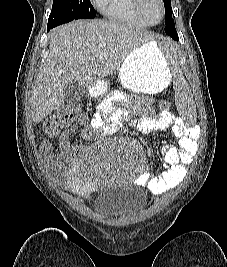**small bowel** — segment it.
I'll use <instances>...</instances> for the list:
<instances>
[{
    "mask_svg": "<svg viewBox=\"0 0 227 267\" xmlns=\"http://www.w3.org/2000/svg\"><path fill=\"white\" fill-rule=\"evenodd\" d=\"M119 101H122L119 95L111 93L100 102L91 120L80 121L64 131L61 136L58 157L62 159L65 168L64 183L75 194L88 195L94 191L95 185L89 179L85 161H82L77 151H71L69 137L77 130H81V135L86 140L115 133L120 128L119 116L121 111L117 106ZM132 108L134 111L146 113L132 122L133 127L140 133L148 134L169 129L178 138L177 144L167 141L160 143L163 164L159 174H142L139 176V183L156 194L174 189L186 175L184 165L193 162L197 153L196 132L186 131L181 120L168 111H153L138 104L133 105ZM42 153L50 163L58 160L48 143H43Z\"/></svg>",
    "mask_w": 227,
    "mask_h": 267,
    "instance_id": "obj_1",
    "label": "small bowel"
}]
</instances>
